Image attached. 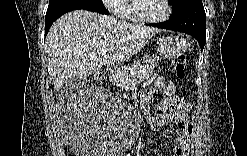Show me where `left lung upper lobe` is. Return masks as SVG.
I'll list each match as a JSON object with an SVG mask.
<instances>
[{"label":"left lung upper lobe","mask_w":247,"mask_h":156,"mask_svg":"<svg viewBox=\"0 0 247 156\" xmlns=\"http://www.w3.org/2000/svg\"><path fill=\"white\" fill-rule=\"evenodd\" d=\"M200 0H172V17L179 16L183 14L192 4Z\"/></svg>","instance_id":"1"}]
</instances>
